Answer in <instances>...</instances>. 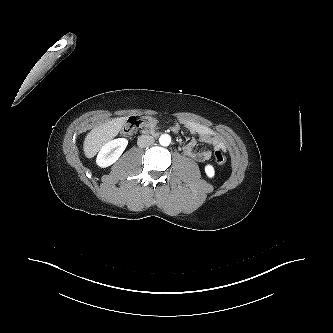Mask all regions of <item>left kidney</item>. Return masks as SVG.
Here are the masks:
<instances>
[{
  "instance_id": "5707ae66",
  "label": "left kidney",
  "mask_w": 333,
  "mask_h": 333,
  "mask_svg": "<svg viewBox=\"0 0 333 333\" xmlns=\"http://www.w3.org/2000/svg\"><path fill=\"white\" fill-rule=\"evenodd\" d=\"M205 172H206L207 176L210 178H212L215 173L213 166L209 165V164L205 166Z\"/></svg>"
}]
</instances>
